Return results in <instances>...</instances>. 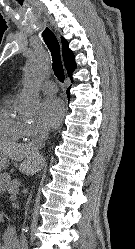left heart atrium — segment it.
I'll use <instances>...</instances> for the list:
<instances>
[{
  "label": "left heart atrium",
  "instance_id": "obj_1",
  "mask_svg": "<svg viewBox=\"0 0 135 249\" xmlns=\"http://www.w3.org/2000/svg\"><path fill=\"white\" fill-rule=\"evenodd\" d=\"M64 104L58 97L46 98L41 104V119L45 126H58L64 115Z\"/></svg>",
  "mask_w": 135,
  "mask_h": 249
}]
</instances>
